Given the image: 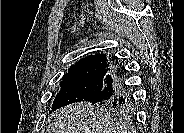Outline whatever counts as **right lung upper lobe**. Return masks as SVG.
<instances>
[{"label": "right lung upper lobe", "instance_id": "right-lung-upper-lobe-1", "mask_svg": "<svg viewBox=\"0 0 184 133\" xmlns=\"http://www.w3.org/2000/svg\"><path fill=\"white\" fill-rule=\"evenodd\" d=\"M112 65V58L104 54L90 55L80 59L69 68L63 79L88 77L96 74H105Z\"/></svg>", "mask_w": 184, "mask_h": 133}]
</instances>
